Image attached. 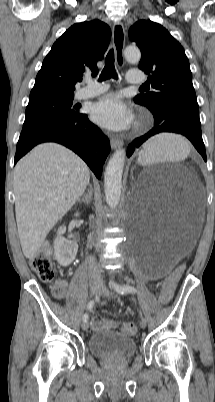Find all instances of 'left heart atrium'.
Returning <instances> with one entry per match:
<instances>
[{"instance_id":"39dd6f15","label":"left heart atrium","mask_w":215,"mask_h":402,"mask_svg":"<svg viewBox=\"0 0 215 402\" xmlns=\"http://www.w3.org/2000/svg\"><path fill=\"white\" fill-rule=\"evenodd\" d=\"M92 119L111 130H122L129 126L132 115L123 101L115 94H108L92 108Z\"/></svg>"}]
</instances>
